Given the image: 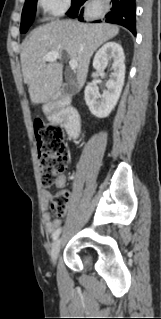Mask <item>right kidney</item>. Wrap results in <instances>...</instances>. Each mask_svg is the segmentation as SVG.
Listing matches in <instances>:
<instances>
[{
	"mask_svg": "<svg viewBox=\"0 0 161 319\" xmlns=\"http://www.w3.org/2000/svg\"><path fill=\"white\" fill-rule=\"evenodd\" d=\"M125 56L123 48L116 42L104 44L95 54L93 68L96 70L92 74L95 78L104 72L105 65L112 61L109 80L106 83L107 90L103 94L99 93L97 87L87 86L84 92L85 102L91 113L98 118L107 117L116 106L125 79Z\"/></svg>",
	"mask_w": 161,
	"mask_h": 319,
	"instance_id": "right-kidney-1",
	"label": "right kidney"
}]
</instances>
